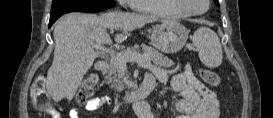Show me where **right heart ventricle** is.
Here are the masks:
<instances>
[{
	"label": "right heart ventricle",
	"instance_id": "obj_1",
	"mask_svg": "<svg viewBox=\"0 0 273 118\" xmlns=\"http://www.w3.org/2000/svg\"><path fill=\"white\" fill-rule=\"evenodd\" d=\"M134 7L142 12L154 13L170 17H183L186 14L180 10L175 0H142L134 2Z\"/></svg>",
	"mask_w": 273,
	"mask_h": 118
}]
</instances>
